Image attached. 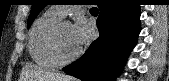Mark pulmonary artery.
<instances>
[{
  "instance_id": "obj_1",
  "label": "pulmonary artery",
  "mask_w": 169,
  "mask_h": 81,
  "mask_svg": "<svg viewBox=\"0 0 169 81\" xmlns=\"http://www.w3.org/2000/svg\"><path fill=\"white\" fill-rule=\"evenodd\" d=\"M52 9L59 13L62 17H64L70 10L68 6H54Z\"/></svg>"
}]
</instances>
